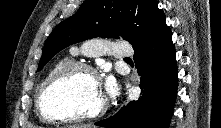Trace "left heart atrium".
I'll use <instances>...</instances> for the list:
<instances>
[{"instance_id": "1", "label": "left heart atrium", "mask_w": 221, "mask_h": 128, "mask_svg": "<svg viewBox=\"0 0 221 128\" xmlns=\"http://www.w3.org/2000/svg\"><path fill=\"white\" fill-rule=\"evenodd\" d=\"M105 90L110 94V95H114L115 94V84L113 82V80L111 78H108L106 81V86H105Z\"/></svg>"}]
</instances>
